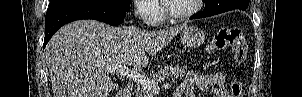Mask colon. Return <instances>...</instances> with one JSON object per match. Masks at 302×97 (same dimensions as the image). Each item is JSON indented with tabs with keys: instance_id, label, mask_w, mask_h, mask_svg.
I'll use <instances>...</instances> for the list:
<instances>
[{
	"instance_id": "obj_1",
	"label": "colon",
	"mask_w": 302,
	"mask_h": 97,
	"mask_svg": "<svg viewBox=\"0 0 302 97\" xmlns=\"http://www.w3.org/2000/svg\"><path fill=\"white\" fill-rule=\"evenodd\" d=\"M230 48L237 62H243L248 53V44L238 27H223L219 29L208 43L207 49L210 53ZM241 95V83L233 81L231 85V97Z\"/></svg>"
}]
</instances>
